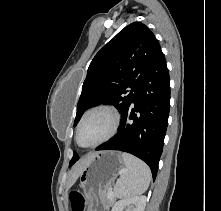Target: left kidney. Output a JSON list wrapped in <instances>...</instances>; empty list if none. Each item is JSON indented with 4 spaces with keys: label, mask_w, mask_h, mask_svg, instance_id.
<instances>
[{
    "label": "left kidney",
    "mask_w": 221,
    "mask_h": 211,
    "mask_svg": "<svg viewBox=\"0 0 221 211\" xmlns=\"http://www.w3.org/2000/svg\"><path fill=\"white\" fill-rule=\"evenodd\" d=\"M146 202V196L122 199L114 204L111 211H144Z\"/></svg>",
    "instance_id": "left-kidney-1"
}]
</instances>
